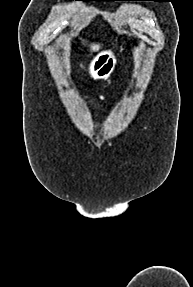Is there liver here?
Wrapping results in <instances>:
<instances>
[{
	"label": "liver",
	"mask_w": 193,
	"mask_h": 287,
	"mask_svg": "<svg viewBox=\"0 0 193 287\" xmlns=\"http://www.w3.org/2000/svg\"><path fill=\"white\" fill-rule=\"evenodd\" d=\"M100 49V45L98 44H92L91 45V51H98Z\"/></svg>",
	"instance_id": "obj_1"
}]
</instances>
